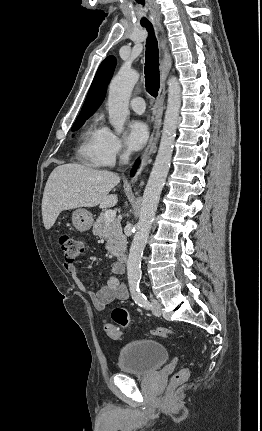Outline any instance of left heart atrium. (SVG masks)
Listing matches in <instances>:
<instances>
[{"instance_id":"1","label":"left heart atrium","mask_w":262,"mask_h":431,"mask_svg":"<svg viewBox=\"0 0 262 431\" xmlns=\"http://www.w3.org/2000/svg\"><path fill=\"white\" fill-rule=\"evenodd\" d=\"M148 135V126L143 121H132L128 126L126 134L128 147L133 151L140 150L145 145Z\"/></svg>"}]
</instances>
